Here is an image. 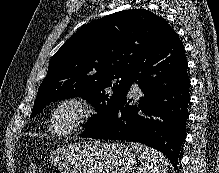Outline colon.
<instances>
[{"mask_svg":"<svg viewBox=\"0 0 219 173\" xmlns=\"http://www.w3.org/2000/svg\"><path fill=\"white\" fill-rule=\"evenodd\" d=\"M28 173H42V168L38 163H33L30 165Z\"/></svg>","mask_w":219,"mask_h":173,"instance_id":"1","label":"colon"}]
</instances>
